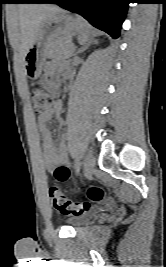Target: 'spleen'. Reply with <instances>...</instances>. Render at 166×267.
I'll return each mask as SVG.
<instances>
[{
	"label": "spleen",
	"instance_id": "obj_1",
	"mask_svg": "<svg viewBox=\"0 0 166 267\" xmlns=\"http://www.w3.org/2000/svg\"><path fill=\"white\" fill-rule=\"evenodd\" d=\"M78 41L80 44H83L88 39L89 27L86 23H82L79 30H78Z\"/></svg>",
	"mask_w": 166,
	"mask_h": 267
}]
</instances>
